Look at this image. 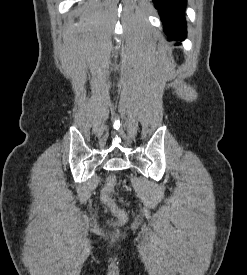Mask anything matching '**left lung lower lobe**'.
<instances>
[{
	"label": "left lung lower lobe",
	"instance_id": "0a47b994",
	"mask_svg": "<svg viewBox=\"0 0 247 275\" xmlns=\"http://www.w3.org/2000/svg\"><path fill=\"white\" fill-rule=\"evenodd\" d=\"M153 1L161 16L164 30L169 40L183 41L186 37L184 10L187 0Z\"/></svg>",
	"mask_w": 247,
	"mask_h": 275
}]
</instances>
